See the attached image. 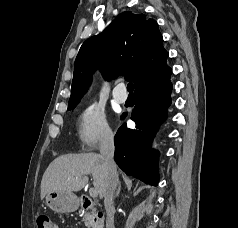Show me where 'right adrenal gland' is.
<instances>
[{
    "label": "right adrenal gland",
    "instance_id": "right-adrenal-gland-1",
    "mask_svg": "<svg viewBox=\"0 0 238 228\" xmlns=\"http://www.w3.org/2000/svg\"><path fill=\"white\" fill-rule=\"evenodd\" d=\"M120 191H121V183L119 182V183H118L117 191H116V193H115V197H117V196L119 195Z\"/></svg>",
    "mask_w": 238,
    "mask_h": 228
}]
</instances>
